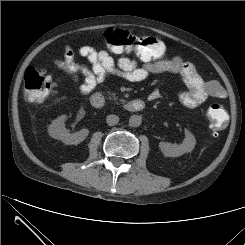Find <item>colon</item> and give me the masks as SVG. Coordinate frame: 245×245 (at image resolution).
I'll return each instance as SVG.
<instances>
[{"mask_svg": "<svg viewBox=\"0 0 245 245\" xmlns=\"http://www.w3.org/2000/svg\"><path fill=\"white\" fill-rule=\"evenodd\" d=\"M108 47L115 52H131L144 62H154L163 58L166 49L155 37L139 36L128 30L112 29L104 34ZM24 87L27 99L33 103H43L55 87L54 78L47 72L28 67L24 74ZM209 127L213 134L222 131L228 120L224 105L213 103L207 110Z\"/></svg>", "mask_w": 245, "mask_h": 245, "instance_id": "colon-1", "label": "colon"}]
</instances>
